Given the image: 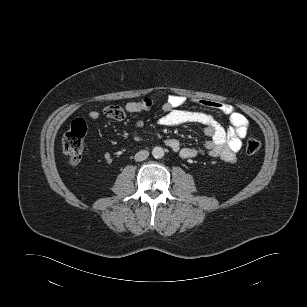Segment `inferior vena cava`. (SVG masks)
Returning a JSON list of instances; mask_svg holds the SVG:
<instances>
[{
  "instance_id": "1",
  "label": "inferior vena cava",
  "mask_w": 307,
  "mask_h": 307,
  "mask_svg": "<svg viewBox=\"0 0 307 307\" xmlns=\"http://www.w3.org/2000/svg\"><path fill=\"white\" fill-rule=\"evenodd\" d=\"M149 156V152L147 150H140L135 154L136 161H143Z\"/></svg>"
}]
</instances>
